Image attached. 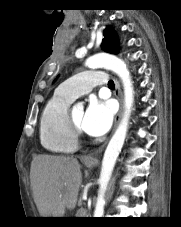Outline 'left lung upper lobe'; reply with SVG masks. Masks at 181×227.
<instances>
[{
    "instance_id": "5c2ea615",
    "label": "left lung upper lobe",
    "mask_w": 181,
    "mask_h": 227,
    "mask_svg": "<svg viewBox=\"0 0 181 227\" xmlns=\"http://www.w3.org/2000/svg\"><path fill=\"white\" fill-rule=\"evenodd\" d=\"M104 38L101 43L103 51L117 54L119 52L118 40L115 32L111 27H107L103 32Z\"/></svg>"
}]
</instances>
